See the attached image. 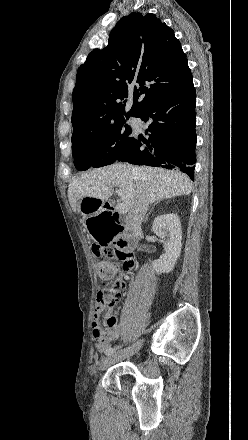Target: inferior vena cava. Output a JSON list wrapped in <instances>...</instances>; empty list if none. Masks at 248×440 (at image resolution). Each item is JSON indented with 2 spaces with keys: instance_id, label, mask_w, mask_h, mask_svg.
<instances>
[{
  "instance_id": "obj_1",
  "label": "inferior vena cava",
  "mask_w": 248,
  "mask_h": 440,
  "mask_svg": "<svg viewBox=\"0 0 248 440\" xmlns=\"http://www.w3.org/2000/svg\"><path fill=\"white\" fill-rule=\"evenodd\" d=\"M148 201L144 195H140L136 201V204L132 210L129 211L126 220L127 224L132 229L141 228V224L145 218L146 212L148 211Z\"/></svg>"
}]
</instances>
